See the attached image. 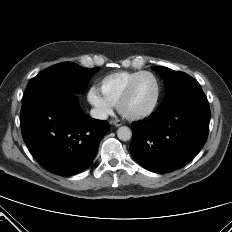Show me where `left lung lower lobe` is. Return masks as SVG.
<instances>
[{
  "label": "left lung lower lobe",
  "mask_w": 232,
  "mask_h": 232,
  "mask_svg": "<svg viewBox=\"0 0 232 232\" xmlns=\"http://www.w3.org/2000/svg\"><path fill=\"white\" fill-rule=\"evenodd\" d=\"M209 120V104L201 87L188 91L132 123L130 152L151 172L182 168L204 146Z\"/></svg>",
  "instance_id": "left-lung-lower-lobe-1"
}]
</instances>
